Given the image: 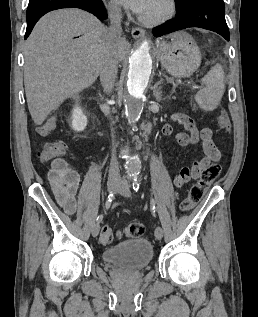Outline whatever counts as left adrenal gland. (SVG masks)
Returning a JSON list of instances; mask_svg holds the SVG:
<instances>
[{"label":"left adrenal gland","mask_w":258,"mask_h":317,"mask_svg":"<svg viewBox=\"0 0 258 317\" xmlns=\"http://www.w3.org/2000/svg\"><path fill=\"white\" fill-rule=\"evenodd\" d=\"M158 84H160V82H156V84H154L153 86V96H155L156 100H161L162 98V94H161V86H158Z\"/></svg>","instance_id":"1"}]
</instances>
